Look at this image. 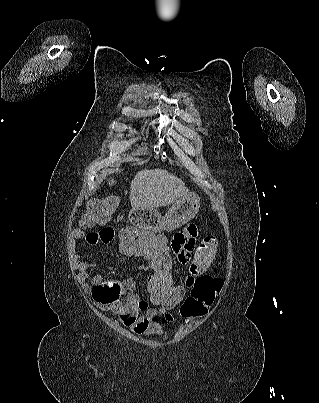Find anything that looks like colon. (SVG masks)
Listing matches in <instances>:
<instances>
[{
	"label": "colon",
	"instance_id": "obj_1",
	"mask_svg": "<svg viewBox=\"0 0 319 403\" xmlns=\"http://www.w3.org/2000/svg\"><path fill=\"white\" fill-rule=\"evenodd\" d=\"M118 204L117 197H92L87 204L89 210L81 220L82 226L105 224L114 216ZM118 240L124 248L123 260H143V267L150 268L147 271V296L149 304H159V313H175L180 325H193L198 316L209 315L210 305L223 288L220 276H206L219 254L218 238L197 242L188 267H185V276L189 278L185 277L183 283L185 287H192L193 296H185L186 288L173 281V268H177L178 262L167 250L170 248L169 234H147L137 226H126ZM180 302L181 308H177Z\"/></svg>",
	"mask_w": 319,
	"mask_h": 403
}]
</instances>
